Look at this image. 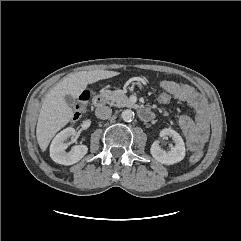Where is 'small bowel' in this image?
Instances as JSON below:
<instances>
[{"instance_id": "1", "label": "small bowel", "mask_w": 241, "mask_h": 241, "mask_svg": "<svg viewBox=\"0 0 241 241\" xmlns=\"http://www.w3.org/2000/svg\"><path fill=\"white\" fill-rule=\"evenodd\" d=\"M160 87L168 91L173 99L185 102L192 108L193 117L182 115L179 127L186 138L188 149L199 151L209 135L207 111L201 95L192 86L175 81H161Z\"/></svg>"}]
</instances>
